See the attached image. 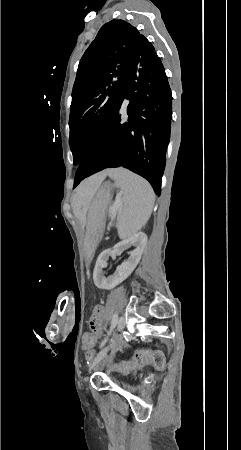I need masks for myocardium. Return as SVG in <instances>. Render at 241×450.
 Masks as SVG:
<instances>
[{"label":"myocardium","instance_id":"f54148a6","mask_svg":"<svg viewBox=\"0 0 241 450\" xmlns=\"http://www.w3.org/2000/svg\"><path fill=\"white\" fill-rule=\"evenodd\" d=\"M88 141H89V142H94V141H95V138H94V137H89V138H88Z\"/></svg>","mask_w":241,"mask_h":450}]
</instances>
